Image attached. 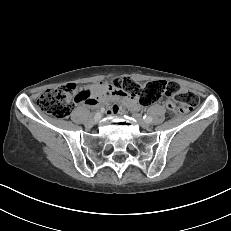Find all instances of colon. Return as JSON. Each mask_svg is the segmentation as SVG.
<instances>
[{
	"label": "colon",
	"instance_id": "5ec220e1",
	"mask_svg": "<svg viewBox=\"0 0 231 231\" xmlns=\"http://www.w3.org/2000/svg\"><path fill=\"white\" fill-rule=\"evenodd\" d=\"M111 87L129 96L137 95L143 106L151 105L165 97L168 111L175 116L193 110L198 104L195 93L183 90L179 84L172 81L156 80L140 85L129 78H116L112 80ZM82 97L83 94L77 85L67 84L43 92L37 105L42 112L62 119L70 114L74 102Z\"/></svg>",
	"mask_w": 231,
	"mask_h": 231
}]
</instances>
